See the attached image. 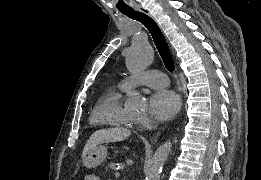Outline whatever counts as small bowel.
<instances>
[{"mask_svg":"<svg viewBox=\"0 0 261 180\" xmlns=\"http://www.w3.org/2000/svg\"><path fill=\"white\" fill-rule=\"evenodd\" d=\"M86 179H87V180H96V176H95L94 174H88V175L86 176Z\"/></svg>","mask_w":261,"mask_h":180,"instance_id":"1","label":"small bowel"}]
</instances>
